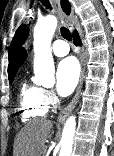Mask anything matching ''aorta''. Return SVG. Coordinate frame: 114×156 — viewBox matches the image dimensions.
<instances>
[{
    "mask_svg": "<svg viewBox=\"0 0 114 156\" xmlns=\"http://www.w3.org/2000/svg\"><path fill=\"white\" fill-rule=\"evenodd\" d=\"M56 27L57 19L54 16H47L34 28V73L35 83L39 85H52L55 81L51 40ZM75 129L76 119L75 116H71L63 128L59 156L71 155Z\"/></svg>",
    "mask_w": 114,
    "mask_h": 156,
    "instance_id": "aorta-1",
    "label": "aorta"
}]
</instances>
